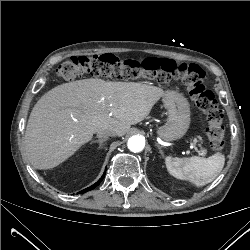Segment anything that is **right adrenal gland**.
<instances>
[{"mask_svg":"<svg viewBox=\"0 0 250 250\" xmlns=\"http://www.w3.org/2000/svg\"><path fill=\"white\" fill-rule=\"evenodd\" d=\"M107 140H108L107 137H105V138H99V139H97V140L91 141L90 144L98 143V144H99V148H102L103 145H104V142L107 141Z\"/></svg>","mask_w":250,"mask_h":250,"instance_id":"2a0ac1e0","label":"right adrenal gland"}]
</instances>
